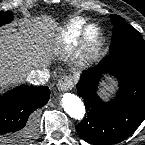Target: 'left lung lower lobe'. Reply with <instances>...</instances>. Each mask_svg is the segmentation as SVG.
<instances>
[{
	"instance_id": "obj_1",
	"label": "left lung lower lobe",
	"mask_w": 145,
	"mask_h": 145,
	"mask_svg": "<svg viewBox=\"0 0 145 145\" xmlns=\"http://www.w3.org/2000/svg\"><path fill=\"white\" fill-rule=\"evenodd\" d=\"M111 73L119 81L117 96L102 102L96 86L102 74ZM87 116L76 126L88 143L111 145L129 137L145 118V55L129 51L111 52L89 68L77 83Z\"/></svg>"
}]
</instances>
